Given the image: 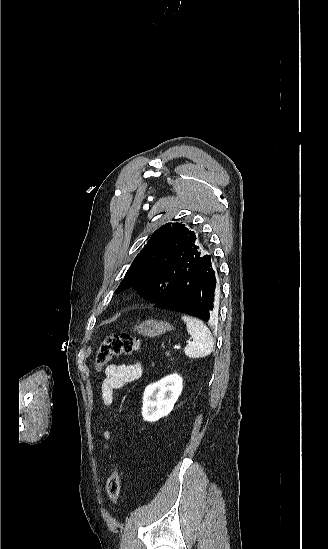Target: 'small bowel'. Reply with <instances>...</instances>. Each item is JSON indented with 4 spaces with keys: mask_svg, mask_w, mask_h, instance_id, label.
Segmentation results:
<instances>
[{
    "mask_svg": "<svg viewBox=\"0 0 328 549\" xmlns=\"http://www.w3.org/2000/svg\"><path fill=\"white\" fill-rule=\"evenodd\" d=\"M143 373L141 363L134 362L131 364L113 363L105 368V377L101 386V396L104 406L109 407L113 402V394L115 390L124 388L127 384L138 380ZM105 444L103 449H109L108 441L111 438L109 429L103 432Z\"/></svg>",
    "mask_w": 328,
    "mask_h": 549,
    "instance_id": "1",
    "label": "small bowel"
}]
</instances>
